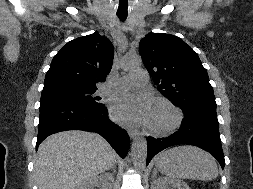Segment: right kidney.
I'll use <instances>...</instances> for the list:
<instances>
[{
	"label": "right kidney",
	"instance_id": "ca27d5eb",
	"mask_svg": "<svg viewBox=\"0 0 253 189\" xmlns=\"http://www.w3.org/2000/svg\"><path fill=\"white\" fill-rule=\"evenodd\" d=\"M113 175L110 173H104L100 176L93 177L80 183L75 189H94V187H100L101 189H112Z\"/></svg>",
	"mask_w": 253,
	"mask_h": 189
}]
</instances>
